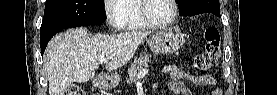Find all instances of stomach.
I'll use <instances>...</instances> for the list:
<instances>
[{
  "label": "stomach",
  "mask_w": 277,
  "mask_h": 95,
  "mask_svg": "<svg viewBox=\"0 0 277 95\" xmlns=\"http://www.w3.org/2000/svg\"><path fill=\"white\" fill-rule=\"evenodd\" d=\"M184 43V36L181 32L176 30H163L152 34L149 39V46L151 50L157 54H173L177 52ZM120 81L118 74L109 75L104 86L114 87Z\"/></svg>",
  "instance_id": "obj_1"
}]
</instances>
